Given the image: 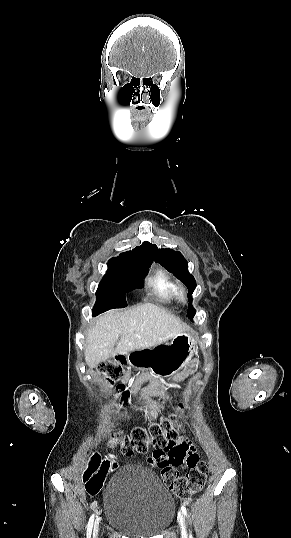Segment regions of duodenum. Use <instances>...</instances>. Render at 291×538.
<instances>
[{"label": "duodenum", "instance_id": "410a0bca", "mask_svg": "<svg viewBox=\"0 0 291 538\" xmlns=\"http://www.w3.org/2000/svg\"><path fill=\"white\" fill-rule=\"evenodd\" d=\"M133 354H135V355H136V354H139V352H138V351H135V352H133Z\"/></svg>", "mask_w": 291, "mask_h": 538}]
</instances>
